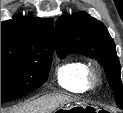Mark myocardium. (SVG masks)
<instances>
[{
    "mask_svg": "<svg viewBox=\"0 0 123 113\" xmlns=\"http://www.w3.org/2000/svg\"><path fill=\"white\" fill-rule=\"evenodd\" d=\"M88 87H95L100 81V72L96 67L90 66L86 71Z\"/></svg>",
    "mask_w": 123,
    "mask_h": 113,
    "instance_id": "myocardium-1",
    "label": "myocardium"
}]
</instances>
